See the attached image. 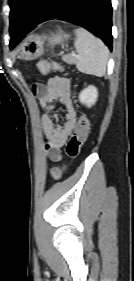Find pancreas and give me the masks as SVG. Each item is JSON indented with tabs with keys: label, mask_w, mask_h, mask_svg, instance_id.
<instances>
[{
	"label": "pancreas",
	"mask_w": 134,
	"mask_h": 281,
	"mask_svg": "<svg viewBox=\"0 0 134 281\" xmlns=\"http://www.w3.org/2000/svg\"><path fill=\"white\" fill-rule=\"evenodd\" d=\"M62 60H63L64 62L68 63V64H73V63H75L76 58H75L73 55L68 54V55H64V56L62 57Z\"/></svg>",
	"instance_id": "obj_1"
}]
</instances>
